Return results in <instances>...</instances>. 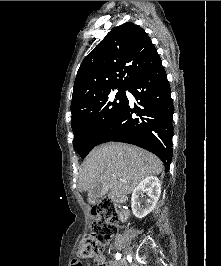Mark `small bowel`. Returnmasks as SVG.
I'll use <instances>...</instances> for the list:
<instances>
[{
    "instance_id": "obj_1",
    "label": "small bowel",
    "mask_w": 221,
    "mask_h": 266,
    "mask_svg": "<svg viewBox=\"0 0 221 266\" xmlns=\"http://www.w3.org/2000/svg\"><path fill=\"white\" fill-rule=\"evenodd\" d=\"M95 266H117L114 262H107L104 255L95 258ZM72 266H82V258H71Z\"/></svg>"
}]
</instances>
